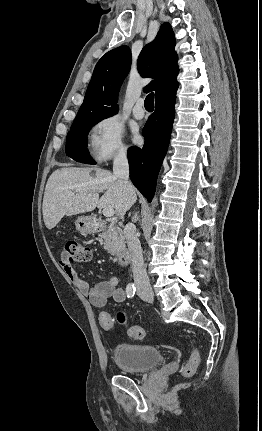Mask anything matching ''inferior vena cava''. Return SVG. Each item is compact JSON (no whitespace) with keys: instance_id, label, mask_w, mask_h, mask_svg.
<instances>
[{"instance_id":"inferior-vena-cava-1","label":"inferior vena cava","mask_w":262,"mask_h":431,"mask_svg":"<svg viewBox=\"0 0 262 431\" xmlns=\"http://www.w3.org/2000/svg\"><path fill=\"white\" fill-rule=\"evenodd\" d=\"M113 175L120 179L127 191H132L133 186L129 182V164L126 149H121L114 158ZM128 249L131 254L132 272L134 283L138 291H151L149 278L144 266L140 241L136 235V227L129 223L124 229Z\"/></svg>"}]
</instances>
